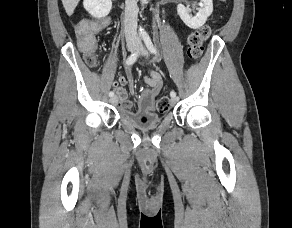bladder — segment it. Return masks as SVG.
I'll return each instance as SVG.
<instances>
[{
    "label": "bladder",
    "mask_w": 292,
    "mask_h": 228,
    "mask_svg": "<svg viewBox=\"0 0 292 228\" xmlns=\"http://www.w3.org/2000/svg\"><path fill=\"white\" fill-rule=\"evenodd\" d=\"M122 117L131 125L140 129L153 128L161 122V117L154 112L141 114L123 113Z\"/></svg>",
    "instance_id": "obj_1"
}]
</instances>
